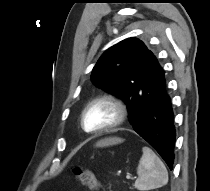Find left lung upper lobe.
<instances>
[{"label": "left lung upper lobe", "instance_id": "1", "mask_svg": "<svg viewBox=\"0 0 210 191\" xmlns=\"http://www.w3.org/2000/svg\"><path fill=\"white\" fill-rule=\"evenodd\" d=\"M162 69L155 54L136 38L125 39L109 48L92 70L93 83L121 98L127 105L130 122L139 103L149 94Z\"/></svg>", "mask_w": 210, "mask_h": 191}]
</instances>
